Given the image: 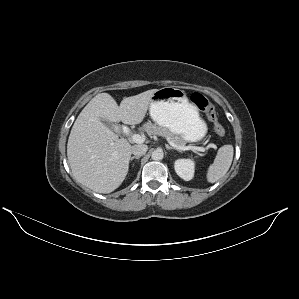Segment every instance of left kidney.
<instances>
[{
    "label": "left kidney",
    "instance_id": "5707ae66",
    "mask_svg": "<svg viewBox=\"0 0 299 299\" xmlns=\"http://www.w3.org/2000/svg\"><path fill=\"white\" fill-rule=\"evenodd\" d=\"M194 167V162L189 159H178L174 164L177 175L185 181H189L193 178Z\"/></svg>",
    "mask_w": 299,
    "mask_h": 299
}]
</instances>
